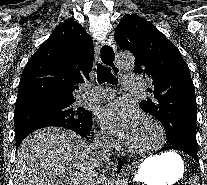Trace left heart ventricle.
Returning a JSON list of instances; mask_svg holds the SVG:
<instances>
[{
	"instance_id": "b2bd125f",
	"label": "left heart ventricle",
	"mask_w": 207,
	"mask_h": 185,
	"mask_svg": "<svg viewBox=\"0 0 207 185\" xmlns=\"http://www.w3.org/2000/svg\"><path fill=\"white\" fill-rule=\"evenodd\" d=\"M162 140L157 132V130L144 122L138 130L128 139L130 144L140 150H148L149 146L156 142Z\"/></svg>"
}]
</instances>
